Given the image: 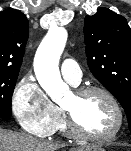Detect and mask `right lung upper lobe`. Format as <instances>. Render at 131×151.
Segmentation results:
<instances>
[{"instance_id":"obj_1","label":"right lung upper lobe","mask_w":131,"mask_h":151,"mask_svg":"<svg viewBox=\"0 0 131 151\" xmlns=\"http://www.w3.org/2000/svg\"><path fill=\"white\" fill-rule=\"evenodd\" d=\"M28 33L22 12L6 9L0 13V71L19 72Z\"/></svg>"}]
</instances>
